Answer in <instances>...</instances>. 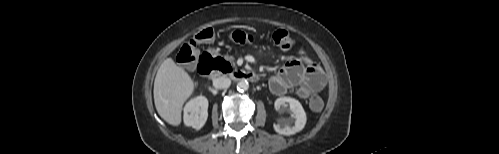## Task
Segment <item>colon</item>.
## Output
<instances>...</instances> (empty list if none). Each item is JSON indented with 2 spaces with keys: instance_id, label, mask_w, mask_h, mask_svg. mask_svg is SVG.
<instances>
[{
  "instance_id": "obj_1",
  "label": "colon",
  "mask_w": 499,
  "mask_h": 154,
  "mask_svg": "<svg viewBox=\"0 0 499 154\" xmlns=\"http://www.w3.org/2000/svg\"><path fill=\"white\" fill-rule=\"evenodd\" d=\"M213 36V30L210 28L203 29L196 33L194 37L183 43L178 50L177 60L180 64L186 67H194L196 65V44L199 42L210 40ZM273 43L283 50H288L294 45V39L291 34L283 29H273L270 33ZM211 65L217 69L226 71L230 68V64L218 57H212ZM309 106L313 111H321L324 103L321 97L313 95L309 100Z\"/></svg>"
}]
</instances>
